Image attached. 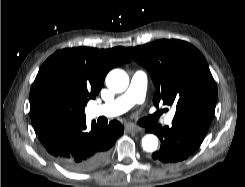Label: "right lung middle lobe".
Instances as JSON below:
<instances>
[{
    "instance_id": "obj_1",
    "label": "right lung middle lobe",
    "mask_w": 245,
    "mask_h": 187,
    "mask_svg": "<svg viewBox=\"0 0 245 187\" xmlns=\"http://www.w3.org/2000/svg\"><path fill=\"white\" fill-rule=\"evenodd\" d=\"M86 97L61 73L37 75L30 91V111L52 121L84 116Z\"/></svg>"
}]
</instances>
